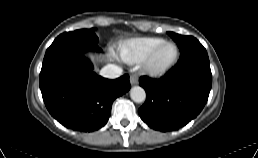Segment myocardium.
<instances>
[{"label": "myocardium", "mask_w": 258, "mask_h": 158, "mask_svg": "<svg viewBox=\"0 0 258 158\" xmlns=\"http://www.w3.org/2000/svg\"><path fill=\"white\" fill-rule=\"evenodd\" d=\"M166 44H171V45L174 46V48H175L174 58L162 67L154 68L152 66V60L154 59L158 50L163 45H166ZM178 59H179V48H178L177 44L174 43L173 41L163 40L144 59V61L142 63V69H143V72L145 74H147L151 77H161V76L165 75L169 70H171L174 67V65L177 63Z\"/></svg>", "instance_id": "myocardium-1"}]
</instances>
